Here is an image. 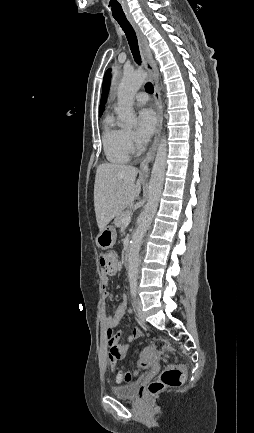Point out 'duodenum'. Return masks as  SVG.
<instances>
[{"label":"duodenum","instance_id":"1","mask_svg":"<svg viewBox=\"0 0 254 433\" xmlns=\"http://www.w3.org/2000/svg\"><path fill=\"white\" fill-rule=\"evenodd\" d=\"M130 255H131V244L129 242L126 243L125 246V265L129 266L130 264Z\"/></svg>","mask_w":254,"mask_h":433}]
</instances>
